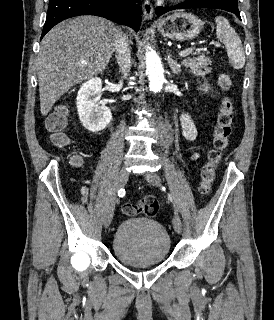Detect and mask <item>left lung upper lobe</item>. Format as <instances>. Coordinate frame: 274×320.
<instances>
[{"instance_id":"1","label":"left lung upper lobe","mask_w":274,"mask_h":320,"mask_svg":"<svg viewBox=\"0 0 274 320\" xmlns=\"http://www.w3.org/2000/svg\"><path fill=\"white\" fill-rule=\"evenodd\" d=\"M223 1H225V2H227L229 4H232V5H238L237 4V0H223Z\"/></svg>"}]
</instances>
